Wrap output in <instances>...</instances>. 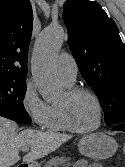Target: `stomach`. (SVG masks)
Masks as SVG:
<instances>
[{
    "label": "stomach",
    "mask_w": 125,
    "mask_h": 167,
    "mask_svg": "<svg viewBox=\"0 0 125 167\" xmlns=\"http://www.w3.org/2000/svg\"><path fill=\"white\" fill-rule=\"evenodd\" d=\"M79 152L94 160H104L115 154L118 144L114 138L94 133L83 137L78 143ZM28 167H40L39 164L30 163Z\"/></svg>",
    "instance_id": "0dacf381"
}]
</instances>
